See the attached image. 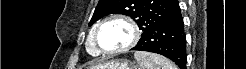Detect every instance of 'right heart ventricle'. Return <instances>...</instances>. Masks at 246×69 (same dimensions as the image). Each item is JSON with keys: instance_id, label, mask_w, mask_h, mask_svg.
<instances>
[{"instance_id": "e07e8e85", "label": "right heart ventricle", "mask_w": 246, "mask_h": 69, "mask_svg": "<svg viewBox=\"0 0 246 69\" xmlns=\"http://www.w3.org/2000/svg\"><path fill=\"white\" fill-rule=\"evenodd\" d=\"M94 29H95V27H93L90 31L86 45H87V50L89 51V53H91L93 55H97V54H99V51L96 47L94 37H93Z\"/></svg>"}]
</instances>
